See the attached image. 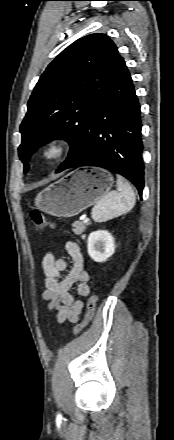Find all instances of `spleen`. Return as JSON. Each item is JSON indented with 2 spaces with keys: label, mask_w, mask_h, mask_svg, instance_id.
I'll use <instances>...</instances> for the list:
<instances>
[{
  "label": "spleen",
  "mask_w": 174,
  "mask_h": 440,
  "mask_svg": "<svg viewBox=\"0 0 174 440\" xmlns=\"http://www.w3.org/2000/svg\"><path fill=\"white\" fill-rule=\"evenodd\" d=\"M117 190L105 194L93 207L92 219L101 223L124 215L135 205V194L129 182L117 176Z\"/></svg>",
  "instance_id": "spleen-1"
}]
</instances>
